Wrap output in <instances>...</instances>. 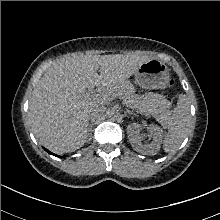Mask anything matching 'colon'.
I'll list each match as a JSON object with an SVG mask.
<instances>
[{
	"label": "colon",
	"mask_w": 220,
	"mask_h": 220,
	"mask_svg": "<svg viewBox=\"0 0 220 220\" xmlns=\"http://www.w3.org/2000/svg\"><path fill=\"white\" fill-rule=\"evenodd\" d=\"M171 84H172V80L169 81V85H171Z\"/></svg>",
	"instance_id": "obj_1"
}]
</instances>
